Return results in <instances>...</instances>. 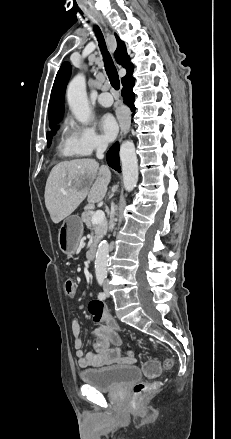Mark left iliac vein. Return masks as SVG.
I'll list each match as a JSON object with an SVG mask.
<instances>
[{"instance_id": "left-iliac-vein-1", "label": "left iliac vein", "mask_w": 231, "mask_h": 439, "mask_svg": "<svg viewBox=\"0 0 231 439\" xmlns=\"http://www.w3.org/2000/svg\"><path fill=\"white\" fill-rule=\"evenodd\" d=\"M105 294L107 297H109V288H108V284H106L105 286Z\"/></svg>"}]
</instances>
